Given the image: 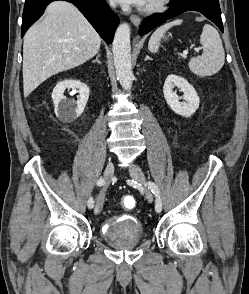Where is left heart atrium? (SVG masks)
Here are the masks:
<instances>
[{
  "mask_svg": "<svg viewBox=\"0 0 249 294\" xmlns=\"http://www.w3.org/2000/svg\"><path fill=\"white\" fill-rule=\"evenodd\" d=\"M117 1L122 4L137 5V6L145 5V3L147 2V0H117Z\"/></svg>",
  "mask_w": 249,
  "mask_h": 294,
  "instance_id": "39dd6f15",
  "label": "left heart atrium"
}]
</instances>
